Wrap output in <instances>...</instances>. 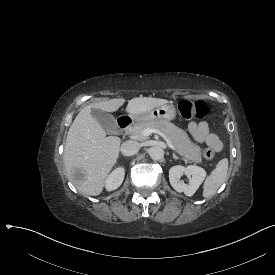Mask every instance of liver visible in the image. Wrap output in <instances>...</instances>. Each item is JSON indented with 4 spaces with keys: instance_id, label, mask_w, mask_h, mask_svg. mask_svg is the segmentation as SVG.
Wrapping results in <instances>:
<instances>
[{
    "instance_id": "6515ba94",
    "label": "liver",
    "mask_w": 275,
    "mask_h": 275,
    "mask_svg": "<svg viewBox=\"0 0 275 275\" xmlns=\"http://www.w3.org/2000/svg\"><path fill=\"white\" fill-rule=\"evenodd\" d=\"M125 99H111L85 106L69 128L64 149V163L71 179V170L81 167L85 171V181L74 185L80 192L97 196L104 187L105 179L119 156L120 138L106 137L101 124L91 115V109L114 112ZM168 100L138 97L128 101L126 112L141 114L167 104Z\"/></svg>"
}]
</instances>
